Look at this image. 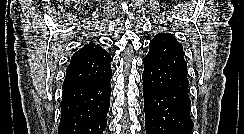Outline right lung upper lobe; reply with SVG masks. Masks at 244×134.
<instances>
[{
	"label": "right lung upper lobe",
	"instance_id": "1",
	"mask_svg": "<svg viewBox=\"0 0 244 134\" xmlns=\"http://www.w3.org/2000/svg\"><path fill=\"white\" fill-rule=\"evenodd\" d=\"M111 61V56L101 46L93 42L86 44L71 57L63 88L104 79L112 74Z\"/></svg>",
	"mask_w": 244,
	"mask_h": 134
}]
</instances>
